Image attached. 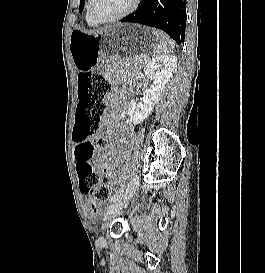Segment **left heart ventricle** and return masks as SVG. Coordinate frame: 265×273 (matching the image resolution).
<instances>
[{"label":"left heart ventricle","instance_id":"left-heart-ventricle-1","mask_svg":"<svg viewBox=\"0 0 265 273\" xmlns=\"http://www.w3.org/2000/svg\"><path fill=\"white\" fill-rule=\"evenodd\" d=\"M133 0H94L93 14L102 19L111 18L126 11Z\"/></svg>","mask_w":265,"mask_h":273}]
</instances>
